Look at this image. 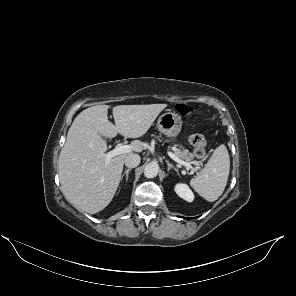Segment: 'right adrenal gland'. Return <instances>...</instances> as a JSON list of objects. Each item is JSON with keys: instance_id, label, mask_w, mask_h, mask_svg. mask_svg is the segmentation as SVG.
<instances>
[{"instance_id": "1", "label": "right adrenal gland", "mask_w": 296, "mask_h": 296, "mask_svg": "<svg viewBox=\"0 0 296 296\" xmlns=\"http://www.w3.org/2000/svg\"><path fill=\"white\" fill-rule=\"evenodd\" d=\"M131 171V168L126 169L123 175L121 176V181L123 180V177L126 176V182L128 181V174Z\"/></svg>"}]
</instances>
